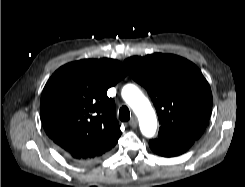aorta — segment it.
<instances>
[{
	"instance_id": "1",
	"label": "aorta",
	"mask_w": 245,
	"mask_h": 187,
	"mask_svg": "<svg viewBox=\"0 0 245 187\" xmlns=\"http://www.w3.org/2000/svg\"><path fill=\"white\" fill-rule=\"evenodd\" d=\"M122 97L137 115L142 134L152 137L157 129V119L149 100L132 84L123 87Z\"/></svg>"
}]
</instances>
